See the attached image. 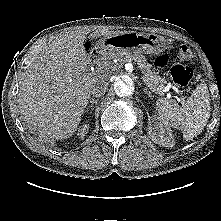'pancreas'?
I'll list each match as a JSON object with an SVG mask.
<instances>
[{"label": "pancreas", "mask_w": 221, "mask_h": 221, "mask_svg": "<svg viewBox=\"0 0 221 221\" xmlns=\"http://www.w3.org/2000/svg\"><path fill=\"white\" fill-rule=\"evenodd\" d=\"M112 58H116L120 63L126 62H136L138 68L142 71L143 81L145 84L155 93L162 94L164 88V83L166 81L161 78L158 73L154 70H151L152 66L147 63L145 56L143 55H133L130 53L122 52L115 53L112 55Z\"/></svg>", "instance_id": "cf45deb5"}]
</instances>
